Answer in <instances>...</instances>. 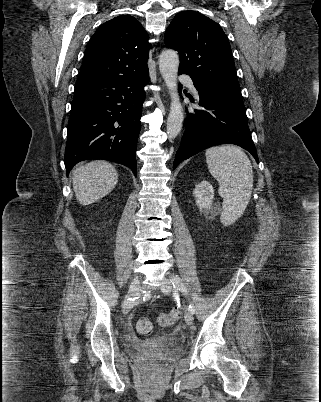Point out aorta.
<instances>
[{"instance_id": "762f6f07", "label": "aorta", "mask_w": 321, "mask_h": 402, "mask_svg": "<svg viewBox=\"0 0 321 402\" xmlns=\"http://www.w3.org/2000/svg\"><path fill=\"white\" fill-rule=\"evenodd\" d=\"M178 68V53L171 49L164 50L159 57V70L171 97L170 112L167 119V135L170 139L175 138L180 133L184 120L177 89Z\"/></svg>"}]
</instances>
